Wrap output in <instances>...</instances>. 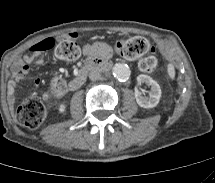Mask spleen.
Returning a JSON list of instances; mask_svg holds the SVG:
<instances>
[{"label": "spleen", "instance_id": "spleen-1", "mask_svg": "<svg viewBox=\"0 0 215 183\" xmlns=\"http://www.w3.org/2000/svg\"><path fill=\"white\" fill-rule=\"evenodd\" d=\"M168 73H169V76L174 79L175 77V69H174V66L173 65H169L168 66Z\"/></svg>", "mask_w": 215, "mask_h": 183}]
</instances>
